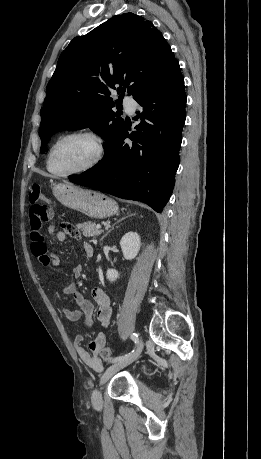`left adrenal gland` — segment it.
I'll return each mask as SVG.
<instances>
[{"label": "left adrenal gland", "instance_id": "1", "mask_svg": "<svg viewBox=\"0 0 261 459\" xmlns=\"http://www.w3.org/2000/svg\"><path fill=\"white\" fill-rule=\"evenodd\" d=\"M134 214H130L128 216H124L122 217L120 220L116 221L113 226L111 227V229L101 238V241L112 231L114 230V226L117 225L118 223L122 222L123 220H125L126 218L130 217V216H133Z\"/></svg>", "mask_w": 261, "mask_h": 459}]
</instances>
